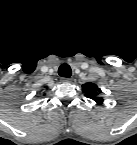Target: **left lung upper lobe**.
<instances>
[{"label": "left lung upper lobe", "instance_id": "left-lung-upper-lobe-1", "mask_svg": "<svg viewBox=\"0 0 137 145\" xmlns=\"http://www.w3.org/2000/svg\"><path fill=\"white\" fill-rule=\"evenodd\" d=\"M82 90L87 98L92 99L97 104L103 103V98L100 97L101 89L94 83H85L82 85Z\"/></svg>", "mask_w": 137, "mask_h": 145}]
</instances>
